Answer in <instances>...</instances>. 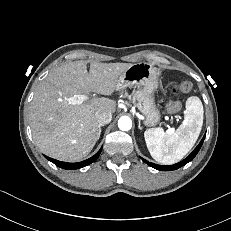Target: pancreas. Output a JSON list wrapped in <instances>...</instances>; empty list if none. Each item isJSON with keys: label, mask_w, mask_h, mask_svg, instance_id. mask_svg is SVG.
Wrapping results in <instances>:
<instances>
[{"label": "pancreas", "mask_w": 231, "mask_h": 231, "mask_svg": "<svg viewBox=\"0 0 231 231\" xmlns=\"http://www.w3.org/2000/svg\"><path fill=\"white\" fill-rule=\"evenodd\" d=\"M128 95H127V93H125L124 95H122V97H127ZM128 97H130V96H128Z\"/></svg>", "instance_id": "1"}]
</instances>
